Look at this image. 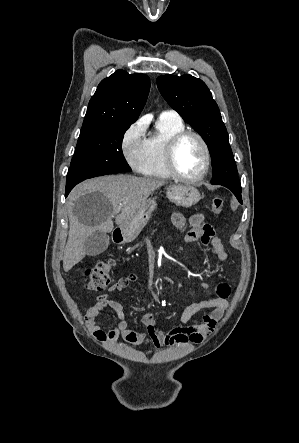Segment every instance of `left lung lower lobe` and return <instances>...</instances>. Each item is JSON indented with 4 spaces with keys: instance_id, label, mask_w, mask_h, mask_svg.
<instances>
[{
    "instance_id": "obj_1",
    "label": "left lung lower lobe",
    "mask_w": 299,
    "mask_h": 443,
    "mask_svg": "<svg viewBox=\"0 0 299 443\" xmlns=\"http://www.w3.org/2000/svg\"><path fill=\"white\" fill-rule=\"evenodd\" d=\"M218 185H222V186L230 189L234 193V195L237 197L238 201L242 204L241 188H236V187L226 185V184H218Z\"/></svg>"
}]
</instances>
